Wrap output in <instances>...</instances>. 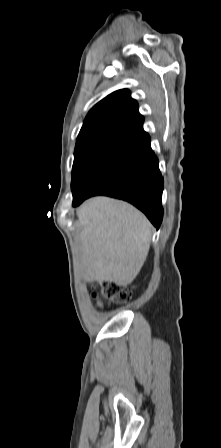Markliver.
Segmentation results:
<instances>
[{"instance_id": "liver-1", "label": "liver", "mask_w": 221, "mask_h": 448, "mask_svg": "<svg viewBox=\"0 0 221 448\" xmlns=\"http://www.w3.org/2000/svg\"><path fill=\"white\" fill-rule=\"evenodd\" d=\"M77 216L85 279L132 283L150 248L152 226L145 215L127 202L100 196L86 201Z\"/></svg>"}]
</instances>
